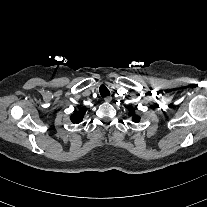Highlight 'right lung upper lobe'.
<instances>
[{"mask_svg": "<svg viewBox=\"0 0 207 207\" xmlns=\"http://www.w3.org/2000/svg\"><path fill=\"white\" fill-rule=\"evenodd\" d=\"M84 112H85L84 109H81L80 111L75 112L74 114H72L70 116L71 121L73 123H79V122H81L82 121V118L84 116Z\"/></svg>", "mask_w": 207, "mask_h": 207, "instance_id": "right-lung-upper-lobe-1", "label": "right lung upper lobe"}]
</instances>
